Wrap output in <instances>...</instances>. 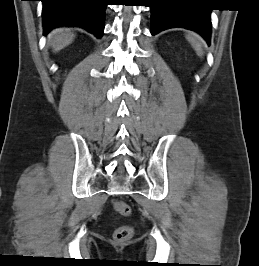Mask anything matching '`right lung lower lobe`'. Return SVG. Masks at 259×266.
Wrapping results in <instances>:
<instances>
[{
  "label": "right lung lower lobe",
  "mask_w": 259,
  "mask_h": 266,
  "mask_svg": "<svg viewBox=\"0 0 259 266\" xmlns=\"http://www.w3.org/2000/svg\"><path fill=\"white\" fill-rule=\"evenodd\" d=\"M44 34L59 26H79L97 38L104 30L107 0H41Z\"/></svg>",
  "instance_id": "1"
}]
</instances>
